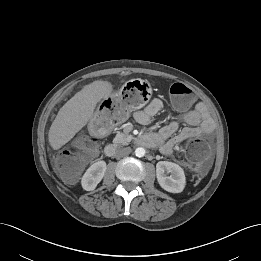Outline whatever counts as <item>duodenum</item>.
I'll list each match as a JSON object with an SVG mask.
<instances>
[{"label":"duodenum","instance_id":"410a0bca","mask_svg":"<svg viewBox=\"0 0 261 261\" xmlns=\"http://www.w3.org/2000/svg\"><path fill=\"white\" fill-rule=\"evenodd\" d=\"M136 143L140 146L152 147L154 146V138L148 134H141L136 138ZM117 146L114 143H109L104 148L106 156L111 157L116 153Z\"/></svg>","mask_w":261,"mask_h":261}]
</instances>
